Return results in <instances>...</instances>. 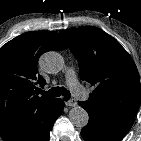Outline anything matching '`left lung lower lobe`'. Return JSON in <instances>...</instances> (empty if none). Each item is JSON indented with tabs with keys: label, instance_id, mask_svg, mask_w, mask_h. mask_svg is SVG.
Segmentation results:
<instances>
[{
	"label": "left lung lower lobe",
	"instance_id": "left-lung-lower-lobe-1",
	"mask_svg": "<svg viewBox=\"0 0 141 141\" xmlns=\"http://www.w3.org/2000/svg\"><path fill=\"white\" fill-rule=\"evenodd\" d=\"M79 105L89 114V122L81 131L85 141H121L134 121L132 116H111L82 102Z\"/></svg>",
	"mask_w": 141,
	"mask_h": 141
}]
</instances>
